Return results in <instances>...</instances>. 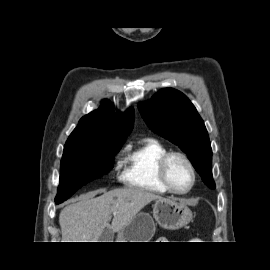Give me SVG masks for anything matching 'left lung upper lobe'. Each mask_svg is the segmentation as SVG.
Masks as SVG:
<instances>
[{
  "mask_svg": "<svg viewBox=\"0 0 270 270\" xmlns=\"http://www.w3.org/2000/svg\"><path fill=\"white\" fill-rule=\"evenodd\" d=\"M138 108L150 129L186 152L203 182L214 189L208 132L190 100L178 90L164 88Z\"/></svg>",
  "mask_w": 270,
  "mask_h": 270,
  "instance_id": "1",
  "label": "left lung upper lobe"
}]
</instances>
